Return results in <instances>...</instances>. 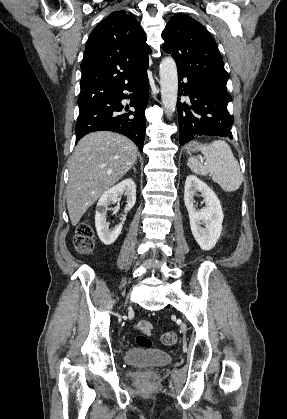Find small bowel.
<instances>
[{
    "mask_svg": "<svg viewBox=\"0 0 287 419\" xmlns=\"http://www.w3.org/2000/svg\"><path fill=\"white\" fill-rule=\"evenodd\" d=\"M136 328H137L140 332H142V333L149 334V333H150V329H151V325H150V323H149V322H147V321H139V322L136 324Z\"/></svg>",
    "mask_w": 287,
    "mask_h": 419,
    "instance_id": "small-bowel-1",
    "label": "small bowel"
}]
</instances>
